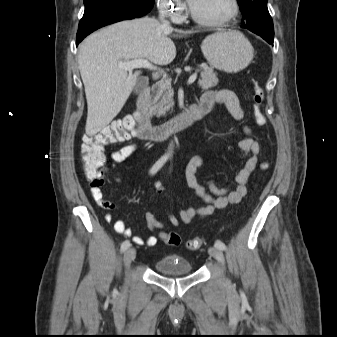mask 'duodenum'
<instances>
[{"mask_svg":"<svg viewBox=\"0 0 337 337\" xmlns=\"http://www.w3.org/2000/svg\"><path fill=\"white\" fill-rule=\"evenodd\" d=\"M136 104L137 108L132 119L136 124V134L142 140H161L175 131L192 126L211 110L209 105L199 101L196 104L188 106L180 114L167 122L152 125L148 118V111L150 109V92L148 87L142 89Z\"/></svg>","mask_w":337,"mask_h":337,"instance_id":"obj_1","label":"duodenum"}]
</instances>
